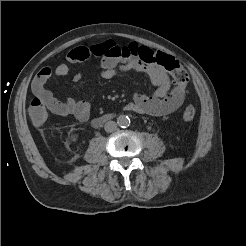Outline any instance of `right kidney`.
I'll return each mask as SVG.
<instances>
[{"label":"right kidney","instance_id":"ca27d5eb","mask_svg":"<svg viewBox=\"0 0 246 246\" xmlns=\"http://www.w3.org/2000/svg\"><path fill=\"white\" fill-rule=\"evenodd\" d=\"M72 142H75L77 140V134H73L70 138Z\"/></svg>","mask_w":246,"mask_h":246}]
</instances>
